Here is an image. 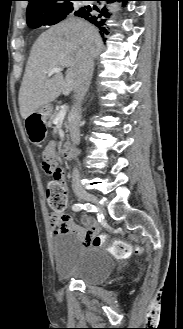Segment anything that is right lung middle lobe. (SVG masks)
Masks as SVG:
<instances>
[{"label": "right lung middle lobe", "mask_w": 183, "mask_h": 329, "mask_svg": "<svg viewBox=\"0 0 183 329\" xmlns=\"http://www.w3.org/2000/svg\"><path fill=\"white\" fill-rule=\"evenodd\" d=\"M72 0L68 1L67 3L61 4L55 9L54 15L45 21L40 22H32L28 24L32 28H38L43 25H54L61 20L65 19L66 16L73 11V4Z\"/></svg>", "instance_id": "1"}]
</instances>
